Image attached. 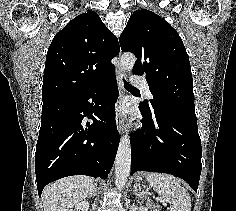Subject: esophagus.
Returning <instances> with one entry per match:
<instances>
[{
	"mask_svg": "<svg viewBox=\"0 0 236 211\" xmlns=\"http://www.w3.org/2000/svg\"><path fill=\"white\" fill-rule=\"evenodd\" d=\"M120 55H121V53H119V55L117 57V64H116V78H117V84H118V89H119V96H118L115 110H116L117 129H118L119 133L122 134L125 130V127L123 126V120L121 118V114L119 111V105L124 97V88H123L124 70L120 64Z\"/></svg>",
	"mask_w": 236,
	"mask_h": 211,
	"instance_id": "1",
	"label": "esophagus"
}]
</instances>
